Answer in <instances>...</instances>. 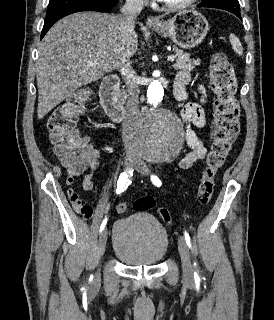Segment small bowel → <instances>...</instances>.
Segmentation results:
<instances>
[{
    "label": "small bowel",
    "mask_w": 274,
    "mask_h": 320,
    "mask_svg": "<svg viewBox=\"0 0 274 320\" xmlns=\"http://www.w3.org/2000/svg\"><path fill=\"white\" fill-rule=\"evenodd\" d=\"M191 80V75L187 71L177 73L174 82V94L176 98L184 102L181 116L186 125L185 141L190 151L180 160L179 167L182 170H188L199 161L205 159L207 148L196 132L195 128L203 129L207 125V115L204 105L207 101V95L203 85L199 84L197 90L199 92V101H187L186 86ZM101 151L97 148L89 147L85 154L84 161L89 162L88 168H81L78 174L86 170L82 180V189L90 191L94 187V177L101 165ZM70 199V198H69ZM74 210L80 214L85 220H89L93 216V207L79 196L70 199Z\"/></svg>",
    "instance_id": "c3829d8e"
}]
</instances>
